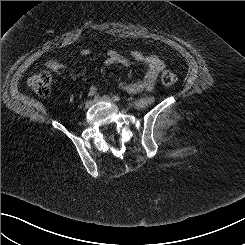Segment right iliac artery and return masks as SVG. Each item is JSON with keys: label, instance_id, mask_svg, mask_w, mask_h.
Returning a JSON list of instances; mask_svg holds the SVG:
<instances>
[{"label": "right iliac artery", "instance_id": "right-iliac-artery-1", "mask_svg": "<svg viewBox=\"0 0 245 245\" xmlns=\"http://www.w3.org/2000/svg\"><path fill=\"white\" fill-rule=\"evenodd\" d=\"M99 98V95L94 96V101H96Z\"/></svg>", "mask_w": 245, "mask_h": 245}]
</instances>
